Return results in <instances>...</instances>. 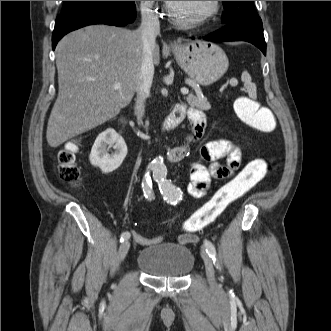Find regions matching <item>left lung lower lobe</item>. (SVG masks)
<instances>
[{
  "mask_svg": "<svg viewBox=\"0 0 331 331\" xmlns=\"http://www.w3.org/2000/svg\"><path fill=\"white\" fill-rule=\"evenodd\" d=\"M194 37H192L193 39ZM207 41H247L266 55V43L260 17L238 20L225 24L221 29L206 36Z\"/></svg>",
  "mask_w": 331,
  "mask_h": 331,
  "instance_id": "1",
  "label": "left lung lower lobe"
}]
</instances>
